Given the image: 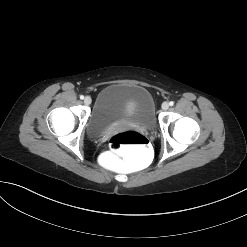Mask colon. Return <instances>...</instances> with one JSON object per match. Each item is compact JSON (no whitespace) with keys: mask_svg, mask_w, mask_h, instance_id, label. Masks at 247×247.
I'll return each instance as SVG.
<instances>
[{"mask_svg":"<svg viewBox=\"0 0 247 247\" xmlns=\"http://www.w3.org/2000/svg\"><path fill=\"white\" fill-rule=\"evenodd\" d=\"M154 156V148L143 134L126 130L110 138L109 147L101 150L98 160L105 170L132 174L149 166Z\"/></svg>","mask_w":247,"mask_h":247,"instance_id":"colon-1","label":"colon"}]
</instances>
